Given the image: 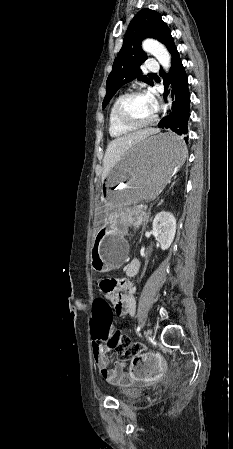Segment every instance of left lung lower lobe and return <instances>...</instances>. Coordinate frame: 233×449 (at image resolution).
<instances>
[{
	"instance_id": "0a47b994",
	"label": "left lung lower lobe",
	"mask_w": 233,
	"mask_h": 449,
	"mask_svg": "<svg viewBox=\"0 0 233 449\" xmlns=\"http://www.w3.org/2000/svg\"><path fill=\"white\" fill-rule=\"evenodd\" d=\"M165 85L164 99L167 100L168 84H171L173 98L172 111L163 118L158 127L169 129L172 134L166 143L170 152L179 150L188 142V120L190 117V93L188 78L182 65L177 48L171 53L170 73L160 71Z\"/></svg>"
}]
</instances>
